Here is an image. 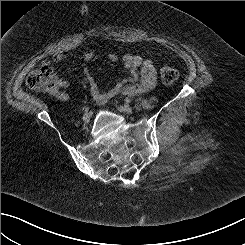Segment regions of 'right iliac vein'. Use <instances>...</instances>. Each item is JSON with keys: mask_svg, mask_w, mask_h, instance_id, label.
<instances>
[{"mask_svg": "<svg viewBox=\"0 0 245 245\" xmlns=\"http://www.w3.org/2000/svg\"><path fill=\"white\" fill-rule=\"evenodd\" d=\"M82 120L85 124H88L90 122V113H84L83 114V117H82Z\"/></svg>", "mask_w": 245, "mask_h": 245, "instance_id": "right-iliac-vein-1", "label": "right iliac vein"}]
</instances>
